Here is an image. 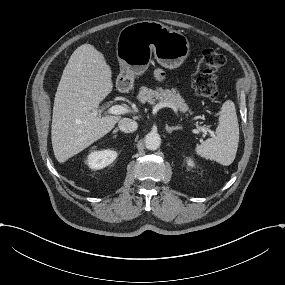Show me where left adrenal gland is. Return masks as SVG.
Returning a JSON list of instances; mask_svg holds the SVG:
<instances>
[{
  "label": "left adrenal gland",
  "instance_id": "obj_1",
  "mask_svg": "<svg viewBox=\"0 0 285 285\" xmlns=\"http://www.w3.org/2000/svg\"><path fill=\"white\" fill-rule=\"evenodd\" d=\"M166 126V130L168 133H172V131H178V130H181L182 128L181 127H169L168 124H165Z\"/></svg>",
  "mask_w": 285,
  "mask_h": 285
}]
</instances>
